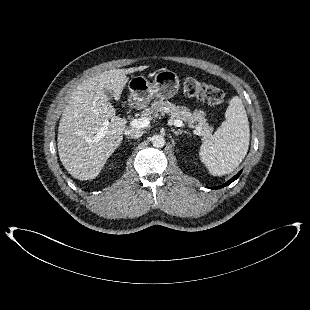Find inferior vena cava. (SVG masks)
<instances>
[{"mask_svg":"<svg viewBox=\"0 0 310 310\" xmlns=\"http://www.w3.org/2000/svg\"><path fill=\"white\" fill-rule=\"evenodd\" d=\"M125 134L131 138H139L142 136L143 132L132 128L125 130Z\"/></svg>","mask_w":310,"mask_h":310,"instance_id":"inferior-vena-cava-1","label":"inferior vena cava"}]
</instances>
